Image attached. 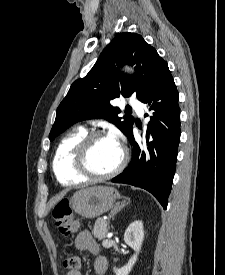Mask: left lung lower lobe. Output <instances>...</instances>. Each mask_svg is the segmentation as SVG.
Wrapping results in <instances>:
<instances>
[{"label":"left lung lower lobe","mask_w":225,"mask_h":275,"mask_svg":"<svg viewBox=\"0 0 225 275\" xmlns=\"http://www.w3.org/2000/svg\"><path fill=\"white\" fill-rule=\"evenodd\" d=\"M178 91L167 69L140 100L152 112L144 142L135 140L132 127L125 134L133 147L128 167L112 179L141 187L166 209L175 174L180 140ZM148 116V114H145Z\"/></svg>","instance_id":"obj_1"}]
</instances>
